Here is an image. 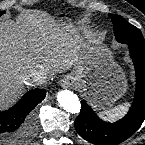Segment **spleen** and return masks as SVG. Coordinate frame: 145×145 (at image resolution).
Here are the masks:
<instances>
[{"label":"spleen","mask_w":145,"mask_h":145,"mask_svg":"<svg viewBox=\"0 0 145 145\" xmlns=\"http://www.w3.org/2000/svg\"><path fill=\"white\" fill-rule=\"evenodd\" d=\"M127 105H118L106 112H104L107 115V118L109 120H115L116 118L123 115V113L126 111Z\"/></svg>","instance_id":"1"}]
</instances>
